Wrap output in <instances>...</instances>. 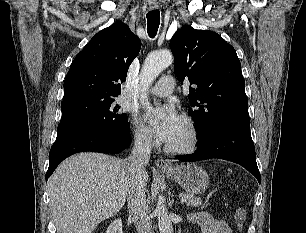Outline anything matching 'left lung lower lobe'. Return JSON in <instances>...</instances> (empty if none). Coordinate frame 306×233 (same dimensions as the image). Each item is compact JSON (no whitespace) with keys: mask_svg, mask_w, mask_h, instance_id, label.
<instances>
[{"mask_svg":"<svg viewBox=\"0 0 306 233\" xmlns=\"http://www.w3.org/2000/svg\"><path fill=\"white\" fill-rule=\"evenodd\" d=\"M219 158L235 162L252 173L260 183L255 148L250 125H228L218 127L198 138V149L190 155L177 156L182 161Z\"/></svg>","mask_w":306,"mask_h":233,"instance_id":"1","label":"left lung lower lobe"}]
</instances>
